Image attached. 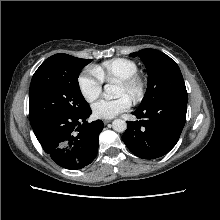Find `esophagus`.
Here are the masks:
<instances>
[{
  "instance_id": "obj_1",
  "label": "esophagus",
  "mask_w": 220,
  "mask_h": 220,
  "mask_svg": "<svg viewBox=\"0 0 220 220\" xmlns=\"http://www.w3.org/2000/svg\"><path fill=\"white\" fill-rule=\"evenodd\" d=\"M111 122V120H103V123L106 125V124H108V123H110Z\"/></svg>"
}]
</instances>
